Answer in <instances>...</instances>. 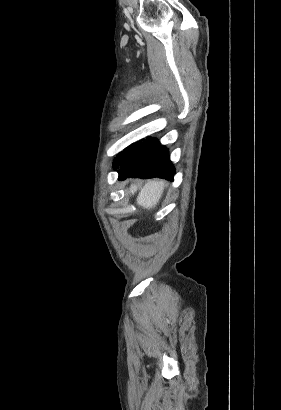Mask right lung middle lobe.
<instances>
[{
	"instance_id": "right-lung-middle-lobe-1",
	"label": "right lung middle lobe",
	"mask_w": 281,
	"mask_h": 410,
	"mask_svg": "<svg viewBox=\"0 0 281 410\" xmlns=\"http://www.w3.org/2000/svg\"><path fill=\"white\" fill-rule=\"evenodd\" d=\"M140 142L141 141L134 143L130 145L129 147H127L124 151L120 152L114 160L113 168L117 169L123 163V161L128 157V155L133 150V148L137 146Z\"/></svg>"
}]
</instances>
